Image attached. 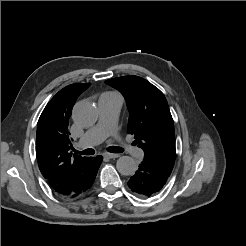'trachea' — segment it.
I'll return each instance as SVG.
<instances>
[{"label":"trachea","instance_id":"obj_1","mask_svg":"<svg viewBox=\"0 0 246 246\" xmlns=\"http://www.w3.org/2000/svg\"><path fill=\"white\" fill-rule=\"evenodd\" d=\"M107 151L111 152V153H122L124 150L121 147L110 146L107 148ZM74 152L76 154H80V155H93V154H95V151L92 148H88V149H85L83 151L74 150Z\"/></svg>","mask_w":246,"mask_h":246}]
</instances>
